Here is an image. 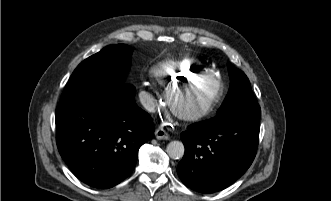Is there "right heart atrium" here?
<instances>
[{"instance_id":"obj_1","label":"right heart atrium","mask_w":331,"mask_h":201,"mask_svg":"<svg viewBox=\"0 0 331 201\" xmlns=\"http://www.w3.org/2000/svg\"><path fill=\"white\" fill-rule=\"evenodd\" d=\"M140 98L142 104L147 109H153L157 106L159 100V93L155 86L149 82L144 81L139 86Z\"/></svg>"}]
</instances>
